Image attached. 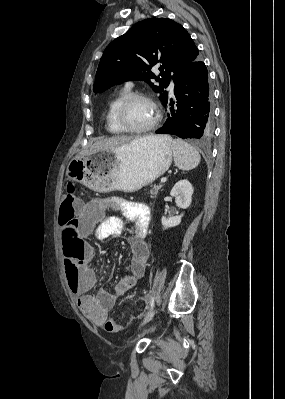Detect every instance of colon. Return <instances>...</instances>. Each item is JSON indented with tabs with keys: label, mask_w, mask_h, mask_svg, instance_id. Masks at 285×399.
<instances>
[{
	"label": "colon",
	"mask_w": 285,
	"mask_h": 399,
	"mask_svg": "<svg viewBox=\"0 0 285 399\" xmlns=\"http://www.w3.org/2000/svg\"><path fill=\"white\" fill-rule=\"evenodd\" d=\"M74 183L68 184V190L64 196L61 207L59 221L72 240H75L78 234V223L74 222L75 212L80 207L81 202L75 193ZM85 258L83 246L74 241L65 255V273L69 279H75L80 274Z\"/></svg>",
	"instance_id": "5ec220e1"
}]
</instances>
